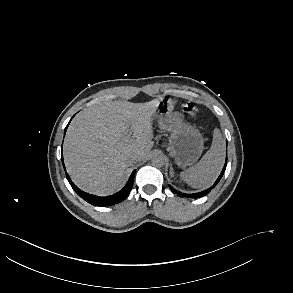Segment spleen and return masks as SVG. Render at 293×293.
Here are the masks:
<instances>
[{"label": "spleen", "mask_w": 293, "mask_h": 293, "mask_svg": "<svg viewBox=\"0 0 293 293\" xmlns=\"http://www.w3.org/2000/svg\"><path fill=\"white\" fill-rule=\"evenodd\" d=\"M224 159L225 143L220 130L215 129L210 149L196 165L181 172V178L193 188H206L220 174Z\"/></svg>", "instance_id": "1"}]
</instances>
